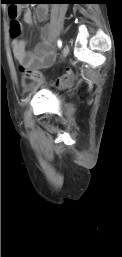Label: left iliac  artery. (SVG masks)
Listing matches in <instances>:
<instances>
[{
    "instance_id": "obj_1",
    "label": "left iliac artery",
    "mask_w": 122,
    "mask_h": 257,
    "mask_svg": "<svg viewBox=\"0 0 122 257\" xmlns=\"http://www.w3.org/2000/svg\"><path fill=\"white\" fill-rule=\"evenodd\" d=\"M57 45H58L59 48H61V47H62V41H61V40H58V41H57Z\"/></svg>"
}]
</instances>
